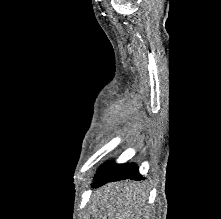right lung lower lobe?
Wrapping results in <instances>:
<instances>
[{"label": "right lung lower lobe", "mask_w": 221, "mask_h": 219, "mask_svg": "<svg viewBox=\"0 0 221 219\" xmlns=\"http://www.w3.org/2000/svg\"><path fill=\"white\" fill-rule=\"evenodd\" d=\"M107 165V163H105ZM102 166L95 176L93 187L101 186L109 181L119 179L144 180L135 164H109Z\"/></svg>", "instance_id": "obj_1"}]
</instances>
